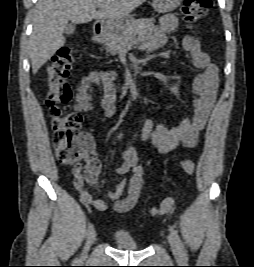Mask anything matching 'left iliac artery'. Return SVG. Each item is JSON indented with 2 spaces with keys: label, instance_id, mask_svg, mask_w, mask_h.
I'll use <instances>...</instances> for the list:
<instances>
[{
  "label": "left iliac artery",
  "instance_id": "44dca946",
  "mask_svg": "<svg viewBox=\"0 0 254 267\" xmlns=\"http://www.w3.org/2000/svg\"><path fill=\"white\" fill-rule=\"evenodd\" d=\"M169 230H170L171 234L174 236V238L176 239V242H177V245H178V248H179V251H180L182 258L186 259L187 258L186 250H185V247H184L177 231L172 227H170Z\"/></svg>",
  "mask_w": 254,
  "mask_h": 267
}]
</instances>
